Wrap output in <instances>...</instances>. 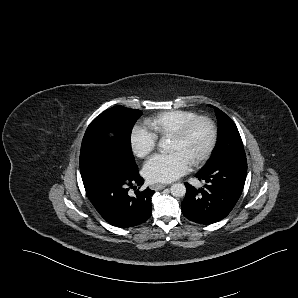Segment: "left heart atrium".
Masks as SVG:
<instances>
[{
	"label": "left heart atrium",
	"instance_id": "39dd6f15",
	"mask_svg": "<svg viewBox=\"0 0 298 298\" xmlns=\"http://www.w3.org/2000/svg\"><path fill=\"white\" fill-rule=\"evenodd\" d=\"M188 164L178 152L153 155L144 165V175L153 182H170L183 175Z\"/></svg>",
	"mask_w": 298,
	"mask_h": 298
}]
</instances>
